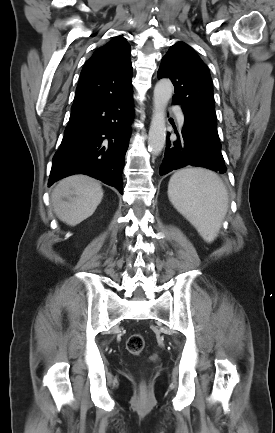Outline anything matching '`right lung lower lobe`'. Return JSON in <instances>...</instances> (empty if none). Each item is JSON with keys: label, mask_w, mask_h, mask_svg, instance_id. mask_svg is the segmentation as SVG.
<instances>
[{"label": "right lung lower lobe", "mask_w": 275, "mask_h": 433, "mask_svg": "<svg viewBox=\"0 0 275 433\" xmlns=\"http://www.w3.org/2000/svg\"><path fill=\"white\" fill-rule=\"evenodd\" d=\"M133 114L132 93L72 110L53 157L48 185L70 175L86 174L122 193Z\"/></svg>", "instance_id": "obj_1"}]
</instances>
